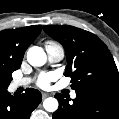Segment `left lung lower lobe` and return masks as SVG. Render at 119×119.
Returning a JSON list of instances; mask_svg holds the SVG:
<instances>
[{"instance_id": "obj_1", "label": "left lung lower lobe", "mask_w": 119, "mask_h": 119, "mask_svg": "<svg viewBox=\"0 0 119 119\" xmlns=\"http://www.w3.org/2000/svg\"><path fill=\"white\" fill-rule=\"evenodd\" d=\"M73 99L55 95L59 108L53 119H119V94L110 92H76Z\"/></svg>"}]
</instances>
